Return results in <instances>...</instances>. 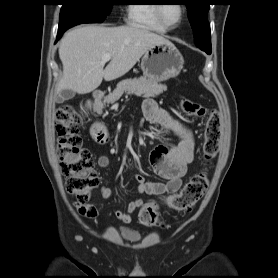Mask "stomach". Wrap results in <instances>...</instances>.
I'll list each match as a JSON object with an SVG mask.
<instances>
[{"instance_id": "stomach-1", "label": "stomach", "mask_w": 278, "mask_h": 278, "mask_svg": "<svg viewBox=\"0 0 278 278\" xmlns=\"http://www.w3.org/2000/svg\"><path fill=\"white\" fill-rule=\"evenodd\" d=\"M183 65V56L172 43L149 47L141 60L144 76L156 82L177 77Z\"/></svg>"}]
</instances>
